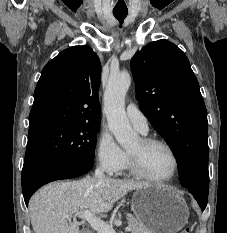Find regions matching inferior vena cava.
Segmentation results:
<instances>
[{"label": "inferior vena cava", "mask_w": 227, "mask_h": 233, "mask_svg": "<svg viewBox=\"0 0 227 233\" xmlns=\"http://www.w3.org/2000/svg\"><path fill=\"white\" fill-rule=\"evenodd\" d=\"M104 169L100 166L95 170V178L98 180L104 179Z\"/></svg>", "instance_id": "inferior-vena-cava-1"}]
</instances>
